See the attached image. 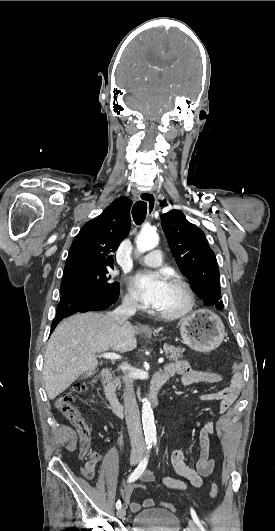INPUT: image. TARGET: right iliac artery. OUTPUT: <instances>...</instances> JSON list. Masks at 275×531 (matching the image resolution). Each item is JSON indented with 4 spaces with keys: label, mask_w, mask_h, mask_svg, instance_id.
I'll use <instances>...</instances> for the list:
<instances>
[{
    "label": "right iliac artery",
    "mask_w": 275,
    "mask_h": 531,
    "mask_svg": "<svg viewBox=\"0 0 275 531\" xmlns=\"http://www.w3.org/2000/svg\"><path fill=\"white\" fill-rule=\"evenodd\" d=\"M152 443H153L152 440L146 442V444H147V447H146L147 455L139 463V465L134 470V472L129 476V478H128V482L129 483L130 482H134L135 480H137L142 475L144 470L146 469V466H147V463H148V453L150 452V449L152 447ZM121 506H122L121 505V501L118 500L117 503H116V508L120 509Z\"/></svg>",
    "instance_id": "1"
}]
</instances>
